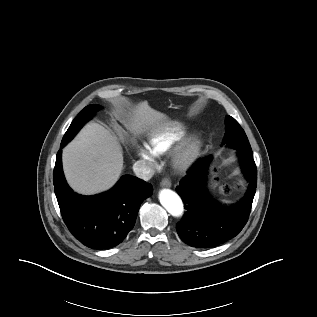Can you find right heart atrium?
<instances>
[{
    "label": "right heart atrium",
    "instance_id": "obj_1",
    "mask_svg": "<svg viewBox=\"0 0 317 317\" xmlns=\"http://www.w3.org/2000/svg\"><path fill=\"white\" fill-rule=\"evenodd\" d=\"M137 156L147 165L153 166L155 164V154L148 147H138Z\"/></svg>",
    "mask_w": 317,
    "mask_h": 317
}]
</instances>
